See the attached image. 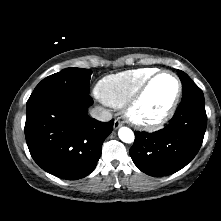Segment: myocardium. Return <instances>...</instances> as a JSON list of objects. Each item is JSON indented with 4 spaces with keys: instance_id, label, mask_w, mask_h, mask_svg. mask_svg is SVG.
Listing matches in <instances>:
<instances>
[{
    "instance_id": "myocardium-1",
    "label": "myocardium",
    "mask_w": 221,
    "mask_h": 221,
    "mask_svg": "<svg viewBox=\"0 0 221 221\" xmlns=\"http://www.w3.org/2000/svg\"><path fill=\"white\" fill-rule=\"evenodd\" d=\"M168 74L175 81L177 85V90L175 96L168 106V108L158 117L153 119H145L137 116L136 109L143 100L145 94L147 93L151 84L161 75ZM182 95V83L179 77L170 70H158L149 76L142 85L137 89V91L131 96V98L124 105V114L127 120L136 128L144 129V130H156L162 127L165 123H167L170 118L173 116L178 103L180 101Z\"/></svg>"
}]
</instances>
